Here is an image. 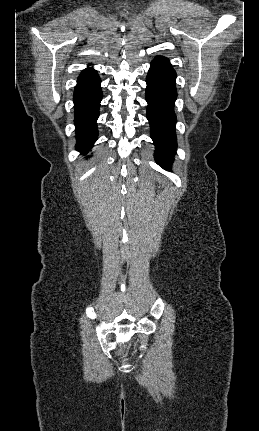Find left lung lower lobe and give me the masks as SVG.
Returning <instances> with one entry per match:
<instances>
[{
  "label": "left lung lower lobe",
  "mask_w": 259,
  "mask_h": 431,
  "mask_svg": "<svg viewBox=\"0 0 259 431\" xmlns=\"http://www.w3.org/2000/svg\"><path fill=\"white\" fill-rule=\"evenodd\" d=\"M146 83L147 118L156 146L155 159L158 165L169 171L176 151L174 103L177 91L176 73L166 57L154 58Z\"/></svg>",
  "instance_id": "obj_1"
}]
</instances>
